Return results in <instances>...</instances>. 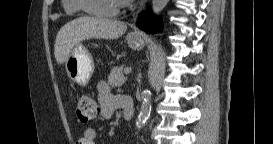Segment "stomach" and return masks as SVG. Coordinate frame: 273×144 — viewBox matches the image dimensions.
<instances>
[{"instance_id":"0dacf381","label":"stomach","mask_w":273,"mask_h":144,"mask_svg":"<svg viewBox=\"0 0 273 144\" xmlns=\"http://www.w3.org/2000/svg\"><path fill=\"white\" fill-rule=\"evenodd\" d=\"M127 44L134 50L142 49L144 41L138 34H129L126 37ZM66 72L69 78L80 86L89 82L94 72V60L87 48L78 44L73 47L65 62Z\"/></svg>"}]
</instances>
